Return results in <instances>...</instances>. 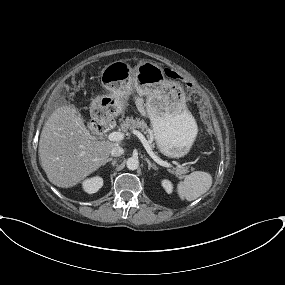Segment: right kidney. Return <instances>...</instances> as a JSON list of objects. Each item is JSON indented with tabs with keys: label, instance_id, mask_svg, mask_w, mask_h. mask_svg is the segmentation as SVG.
Returning <instances> with one entry per match:
<instances>
[{
	"label": "right kidney",
	"instance_id": "obj_1",
	"mask_svg": "<svg viewBox=\"0 0 285 285\" xmlns=\"http://www.w3.org/2000/svg\"><path fill=\"white\" fill-rule=\"evenodd\" d=\"M102 186L103 179L98 176L87 179L83 182V189L89 194L96 193Z\"/></svg>",
	"mask_w": 285,
	"mask_h": 285
}]
</instances>
